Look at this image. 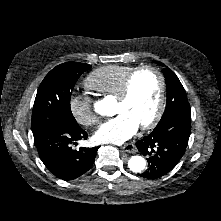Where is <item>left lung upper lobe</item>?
<instances>
[{
    "mask_svg": "<svg viewBox=\"0 0 221 221\" xmlns=\"http://www.w3.org/2000/svg\"><path fill=\"white\" fill-rule=\"evenodd\" d=\"M158 64L163 65L160 62H158ZM163 73L167 86V102L165 111L159 123L164 121L170 115L191 112L186 92L176 74L169 68H164Z\"/></svg>",
    "mask_w": 221,
    "mask_h": 221,
    "instance_id": "obj_1",
    "label": "left lung upper lobe"
}]
</instances>
